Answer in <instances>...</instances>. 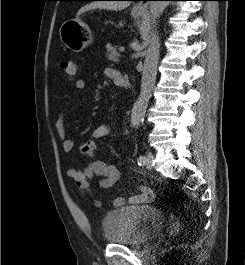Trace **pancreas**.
<instances>
[{"instance_id":"cf45deb5","label":"pancreas","mask_w":245,"mask_h":265,"mask_svg":"<svg viewBox=\"0 0 245 265\" xmlns=\"http://www.w3.org/2000/svg\"><path fill=\"white\" fill-rule=\"evenodd\" d=\"M120 54L117 52L116 47H112L110 44L107 46L106 58L112 62H119Z\"/></svg>"}]
</instances>
